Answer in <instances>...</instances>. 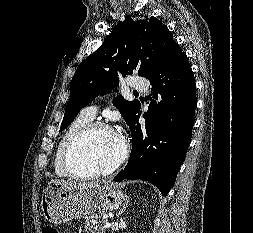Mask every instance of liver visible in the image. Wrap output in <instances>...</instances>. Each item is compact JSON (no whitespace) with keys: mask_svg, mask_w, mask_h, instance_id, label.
Returning a JSON list of instances; mask_svg holds the SVG:
<instances>
[{"mask_svg":"<svg viewBox=\"0 0 253 233\" xmlns=\"http://www.w3.org/2000/svg\"><path fill=\"white\" fill-rule=\"evenodd\" d=\"M49 184H60L64 186H69L73 189H84V188H89L93 186H98V182H73V181H67V180H58L54 179L49 182Z\"/></svg>","mask_w":253,"mask_h":233,"instance_id":"obj_1","label":"liver"}]
</instances>
